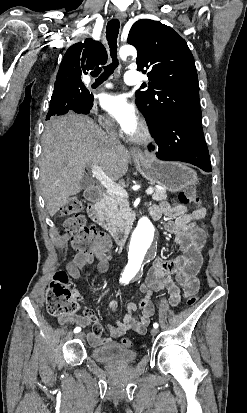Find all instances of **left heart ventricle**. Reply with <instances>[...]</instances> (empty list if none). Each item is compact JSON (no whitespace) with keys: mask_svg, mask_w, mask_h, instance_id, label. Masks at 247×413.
Listing matches in <instances>:
<instances>
[{"mask_svg":"<svg viewBox=\"0 0 247 413\" xmlns=\"http://www.w3.org/2000/svg\"><path fill=\"white\" fill-rule=\"evenodd\" d=\"M141 133V128L138 129L135 135H139Z\"/></svg>","mask_w":247,"mask_h":413,"instance_id":"left-heart-ventricle-1","label":"left heart ventricle"}]
</instances>
